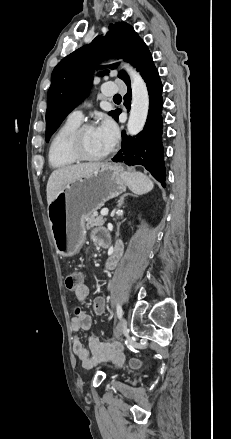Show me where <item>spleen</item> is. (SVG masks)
I'll return each mask as SVG.
<instances>
[{"label": "spleen", "instance_id": "spleen-1", "mask_svg": "<svg viewBox=\"0 0 231 439\" xmlns=\"http://www.w3.org/2000/svg\"><path fill=\"white\" fill-rule=\"evenodd\" d=\"M126 184L135 194H145L153 189V182L141 172H125Z\"/></svg>", "mask_w": 231, "mask_h": 439}]
</instances>
